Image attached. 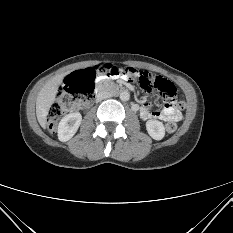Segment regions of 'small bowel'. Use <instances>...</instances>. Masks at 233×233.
I'll return each mask as SVG.
<instances>
[{
    "instance_id": "c3829d8e",
    "label": "small bowel",
    "mask_w": 233,
    "mask_h": 233,
    "mask_svg": "<svg viewBox=\"0 0 233 233\" xmlns=\"http://www.w3.org/2000/svg\"><path fill=\"white\" fill-rule=\"evenodd\" d=\"M140 116L143 120L159 119L166 123L175 124L182 119L181 112L173 102H167L161 109H154L147 100H144L140 107Z\"/></svg>"
}]
</instances>
